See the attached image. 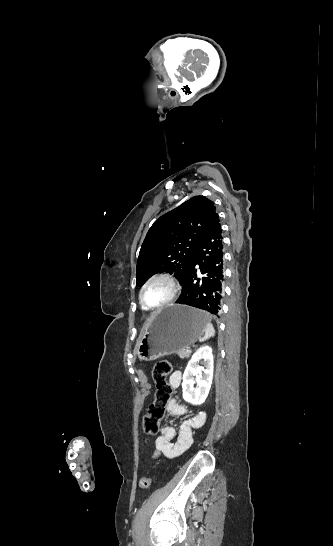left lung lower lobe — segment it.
<instances>
[{
    "instance_id": "left-lung-lower-lobe-1",
    "label": "left lung lower lobe",
    "mask_w": 333,
    "mask_h": 546,
    "mask_svg": "<svg viewBox=\"0 0 333 546\" xmlns=\"http://www.w3.org/2000/svg\"><path fill=\"white\" fill-rule=\"evenodd\" d=\"M222 249V230L217 217L196 246L193 262L181 283L182 293L176 303L203 309L219 317L224 283ZM197 274H202V277L197 278Z\"/></svg>"
}]
</instances>
